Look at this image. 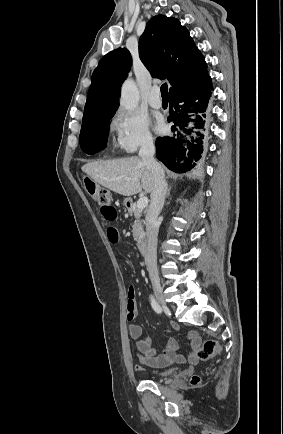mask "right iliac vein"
Here are the masks:
<instances>
[{"mask_svg": "<svg viewBox=\"0 0 283 434\" xmlns=\"http://www.w3.org/2000/svg\"><path fill=\"white\" fill-rule=\"evenodd\" d=\"M153 289H154V293L157 297V300L159 301V303L163 306V307H167V302L165 300L164 294H163V290L162 287L160 285L159 282L155 281L153 282Z\"/></svg>", "mask_w": 283, "mask_h": 434, "instance_id": "obj_1", "label": "right iliac vein"}]
</instances>
